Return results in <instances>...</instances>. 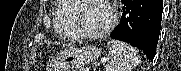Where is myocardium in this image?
Wrapping results in <instances>:
<instances>
[{
  "mask_svg": "<svg viewBox=\"0 0 181 71\" xmlns=\"http://www.w3.org/2000/svg\"><path fill=\"white\" fill-rule=\"evenodd\" d=\"M64 1L71 3L73 6L72 13L70 15V26L77 39L98 40V39L104 38L107 35H109L117 25L118 17H117V12H116L115 7L108 0H100L108 8L110 12L111 18H110L109 24L103 30L99 32L88 33V32L82 31L79 29L78 21H77V18L81 11L80 1L79 0H64Z\"/></svg>",
  "mask_w": 181,
  "mask_h": 71,
  "instance_id": "obj_1",
  "label": "myocardium"
}]
</instances>
